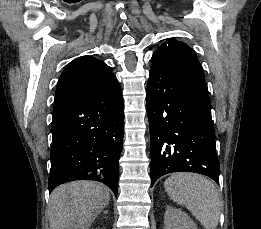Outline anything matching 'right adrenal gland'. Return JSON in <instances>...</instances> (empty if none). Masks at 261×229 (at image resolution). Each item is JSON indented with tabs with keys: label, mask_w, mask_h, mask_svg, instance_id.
Returning <instances> with one entry per match:
<instances>
[{
	"label": "right adrenal gland",
	"mask_w": 261,
	"mask_h": 229,
	"mask_svg": "<svg viewBox=\"0 0 261 229\" xmlns=\"http://www.w3.org/2000/svg\"><path fill=\"white\" fill-rule=\"evenodd\" d=\"M105 215H108V211H104Z\"/></svg>",
	"instance_id": "obj_1"
}]
</instances>
